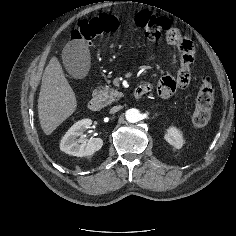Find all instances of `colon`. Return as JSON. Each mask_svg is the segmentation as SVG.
Returning a JSON list of instances; mask_svg holds the SVG:
<instances>
[{
    "label": "colon",
    "instance_id": "colon-1",
    "mask_svg": "<svg viewBox=\"0 0 236 236\" xmlns=\"http://www.w3.org/2000/svg\"><path fill=\"white\" fill-rule=\"evenodd\" d=\"M136 24L144 31V36L148 40L166 39L173 44H180L184 40L183 35L164 16L141 11L136 16ZM119 26L120 22L117 17L101 14L81 20L73 31L72 38L77 41L91 42L102 35L116 32ZM187 83V79L182 81L184 85ZM213 104L214 88L209 79L204 78L196 96L195 110L192 116V124L195 128L200 129L207 125Z\"/></svg>",
    "mask_w": 236,
    "mask_h": 236
}]
</instances>
